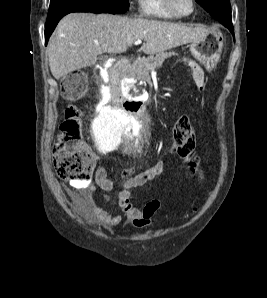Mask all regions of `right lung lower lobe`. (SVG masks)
Segmentation results:
<instances>
[{
  "label": "right lung lower lobe",
  "mask_w": 267,
  "mask_h": 298,
  "mask_svg": "<svg viewBox=\"0 0 267 298\" xmlns=\"http://www.w3.org/2000/svg\"><path fill=\"white\" fill-rule=\"evenodd\" d=\"M85 12V11H84ZM66 15V14H65ZM65 15H62V16H59L57 17L56 19H54L53 21L51 22H46V25H45V44H47L48 40H49V37L50 35L52 34V32L54 31L57 23L59 22V20L65 16Z\"/></svg>",
  "instance_id": "98d812e1"
}]
</instances>
